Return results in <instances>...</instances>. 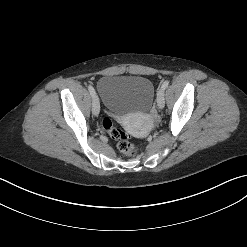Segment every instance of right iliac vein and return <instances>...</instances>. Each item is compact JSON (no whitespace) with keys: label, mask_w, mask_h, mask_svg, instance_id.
I'll return each mask as SVG.
<instances>
[{"label":"right iliac vein","mask_w":247,"mask_h":247,"mask_svg":"<svg viewBox=\"0 0 247 247\" xmlns=\"http://www.w3.org/2000/svg\"><path fill=\"white\" fill-rule=\"evenodd\" d=\"M99 112H100V102L98 97L95 96L92 102V113L94 116H98Z\"/></svg>","instance_id":"1"}]
</instances>
